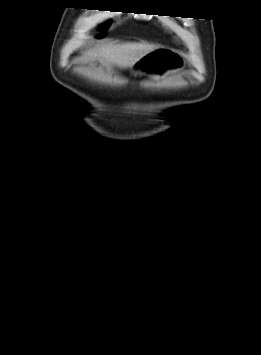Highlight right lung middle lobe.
<instances>
[{"label": "right lung middle lobe", "mask_w": 261, "mask_h": 355, "mask_svg": "<svg viewBox=\"0 0 261 355\" xmlns=\"http://www.w3.org/2000/svg\"><path fill=\"white\" fill-rule=\"evenodd\" d=\"M106 35V32H104L101 36H99L98 38H103Z\"/></svg>", "instance_id": "obj_1"}]
</instances>
